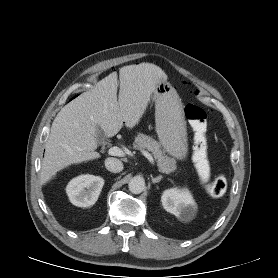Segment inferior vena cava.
Returning <instances> with one entry per match:
<instances>
[{"instance_id": "inferior-vena-cava-1", "label": "inferior vena cava", "mask_w": 278, "mask_h": 278, "mask_svg": "<svg viewBox=\"0 0 278 278\" xmlns=\"http://www.w3.org/2000/svg\"><path fill=\"white\" fill-rule=\"evenodd\" d=\"M105 167L110 172L118 173L123 170V163L116 158H107L105 160Z\"/></svg>"}]
</instances>
